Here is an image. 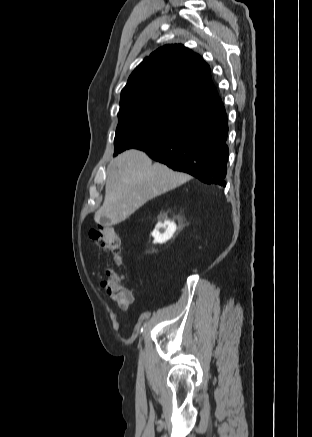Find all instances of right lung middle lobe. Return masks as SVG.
<instances>
[{"instance_id": "dd1d6c3e", "label": "right lung middle lobe", "mask_w": 312, "mask_h": 437, "mask_svg": "<svg viewBox=\"0 0 312 437\" xmlns=\"http://www.w3.org/2000/svg\"><path fill=\"white\" fill-rule=\"evenodd\" d=\"M195 115L196 112L156 102L121 108L114 139V156L126 149L139 148L174 134Z\"/></svg>"}]
</instances>
